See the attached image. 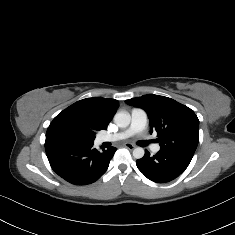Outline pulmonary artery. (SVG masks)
<instances>
[{
	"label": "pulmonary artery",
	"instance_id": "1",
	"mask_svg": "<svg viewBox=\"0 0 235 235\" xmlns=\"http://www.w3.org/2000/svg\"><path fill=\"white\" fill-rule=\"evenodd\" d=\"M147 124H148V117H147V113L145 112V110L141 108H133L131 110L130 124L126 129L120 132L98 136L95 140V143L102 144L105 142H117V141L125 140L143 131L146 128ZM159 150H160V147L158 145L152 146L153 152L156 153Z\"/></svg>",
	"mask_w": 235,
	"mask_h": 235
}]
</instances>
